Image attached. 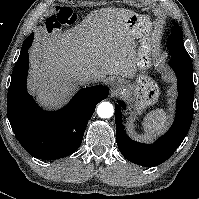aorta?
Segmentation results:
<instances>
[{
  "mask_svg": "<svg viewBox=\"0 0 199 199\" xmlns=\"http://www.w3.org/2000/svg\"><path fill=\"white\" fill-rule=\"evenodd\" d=\"M114 108L109 102H102L97 107V114L101 118H110L113 115Z\"/></svg>",
  "mask_w": 199,
  "mask_h": 199,
  "instance_id": "762f6f07",
  "label": "aorta"
}]
</instances>
